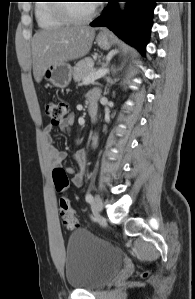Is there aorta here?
Segmentation results:
<instances>
[{
	"label": "aorta",
	"instance_id": "obj_1",
	"mask_svg": "<svg viewBox=\"0 0 195 299\" xmlns=\"http://www.w3.org/2000/svg\"><path fill=\"white\" fill-rule=\"evenodd\" d=\"M120 7H121L122 9H124V7H125L124 3H122V4L120 5ZM96 144H97V140L94 141V145H95V146H96Z\"/></svg>",
	"mask_w": 195,
	"mask_h": 299
}]
</instances>
